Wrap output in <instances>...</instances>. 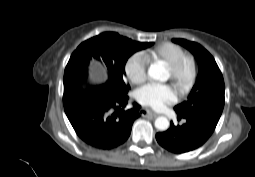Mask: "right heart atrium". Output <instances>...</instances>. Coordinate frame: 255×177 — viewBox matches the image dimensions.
Here are the masks:
<instances>
[{"label": "right heart atrium", "instance_id": "obj_1", "mask_svg": "<svg viewBox=\"0 0 255 177\" xmlns=\"http://www.w3.org/2000/svg\"><path fill=\"white\" fill-rule=\"evenodd\" d=\"M124 69L128 79L139 84L146 79L148 59L143 53H134L126 60Z\"/></svg>", "mask_w": 255, "mask_h": 177}]
</instances>
